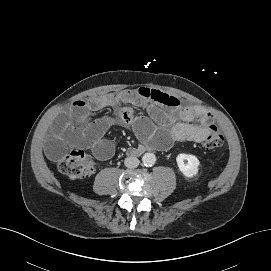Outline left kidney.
<instances>
[{"label":"left kidney","instance_id":"left-kidney-1","mask_svg":"<svg viewBox=\"0 0 271 271\" xmlns=\"http://www.w3.org/2000/svg\"><path fill=\"white\" fill-rule=\"evenodd\" d=\"M176 162L179 170L186 178H192L198 173L200 161L192 154L181 153L177 156Z\"/></svg>","mask_w":271,"mask_h":271}]
</instances>
